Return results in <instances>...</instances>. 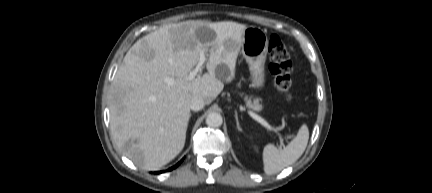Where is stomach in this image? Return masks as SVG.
<instances>
[{
  "label": "stomach",
  "mask_w": 432,
  "mask_h": 193,
  "mask_svg": "<svg viewBox=\"0 0 432 193\" xmlns=\"http://www.w3.org/2000/svg\"><path fill=\"white\" fill-rule=\"evenodd\" d=\"M269 39L266 31L254 26L247 27L242 36L241 53L249 65L252 86L262 88L265 83L264 66Z\"/></svg>",
  "instance_id": "0dacf381"
}]
</instances>
